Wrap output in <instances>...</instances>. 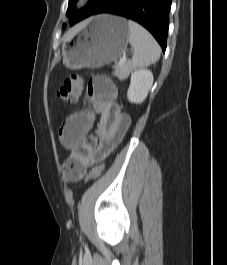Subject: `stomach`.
<instances>
[{"instance_id": "stomach-1", "label": "stomach", "mask_w": 227, "mask_h": 265, "mask_svg": "<svg viewBox=\"0 0 227 265\" xmlns=\"http://www.w3.org/2000/svg\"><path fill=\"white\" fill-rule=\"evenodd\" d=\"M129 36L124 18L98 15L75 40L63 43V63L72 70L98 68L112 63L125 52Z\"/></svg>"}]
</instances>
